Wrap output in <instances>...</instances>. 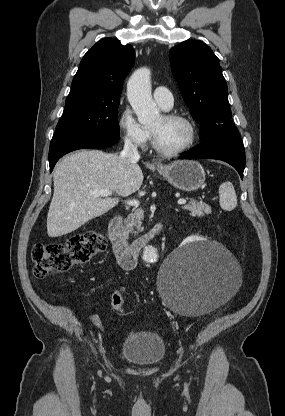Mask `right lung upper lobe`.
Segmentation results:
<instances>
[{"mask_svg": "<svg viewBox=\"0 0 285 416\" xmlns=\"http://www.w3.org/2000/svg\"><path fill=\"white\" fill-rule=\"evenodd\" d=\"M135 51L114 38L97 42L83 57L68 97L83 100L120 98L123 81L134 65Z\"/></svg>", "mask_w": 285, "mask_h": 416, "instance_id": "obj_1", "label": "right lung upper lobe"}]
</instances>
